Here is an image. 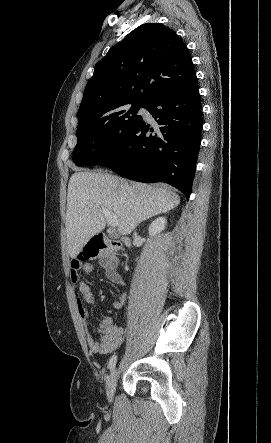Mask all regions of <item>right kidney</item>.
I'll return each instance as SVG.
<instances>
[{"mask_svg":"<svg viewBox=\"0 0 271 443\" xmlns=\"http://www.w3.org/2000/svg\"><path fill=\"white\" fill-rule=\"evenodd\" d=\"M166 223L167 222H166L165 218H156V220H154V222L150 223V225L148 227L149 235H156V233H160V231H162V229H165Z\"/></svg>","mask_w":271,"mask_h":443,"instance_id":"obj_1","label":"right kidney"}]
</instances>
